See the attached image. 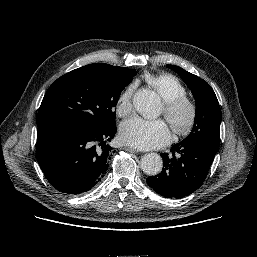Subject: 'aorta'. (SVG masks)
<instances>
[{
    "mask_svg": "<svg viewBox=\"0 0 257 257\" xmlns=\"http://www.w3.org/2000/svg\"><path fill=\"white\" fill-rule=\"evenodd\" d=\"M133 104L136 110L143 116H151L159 107L160 98L157 93L149 89L138 90L133 97ZM163 161L160 155L149 153L141 159L142 171L150 176L161 172Z\"/></svg>",
    "mask_w": 257,
    "mask_h": 257,
    "instance_id": "1",
    "label": "aorta"
}]
</instances>
